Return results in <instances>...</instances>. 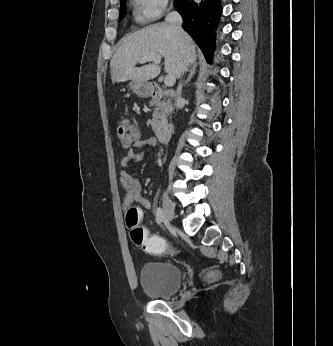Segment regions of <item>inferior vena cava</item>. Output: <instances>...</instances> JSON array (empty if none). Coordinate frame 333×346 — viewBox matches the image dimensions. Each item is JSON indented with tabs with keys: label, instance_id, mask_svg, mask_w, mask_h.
<instances>
[{
	"label": "inferior vena cava",
	"instance_id": "602c4592",
	"mask_svg": "<svg viewBox=\"0 0 333 346\" xmlns=\"http://www.w3.org/2000/svg\"><path fill=\"white\" fill-rule=\"evenodd\" d=\"M166 23H168L179 35L183 33V30L181 28L182 25V17L177 11H171L168 13V15L165 18ZM187 70V65L184 63L182 65L181 69V75L185 73ZM181 93H182V83L179 84L177 88V98H176V107L179 106L181 102Z\"/></svg>",
	"mask_w": 333,
	"mask_h": 346
}]
</instances>
